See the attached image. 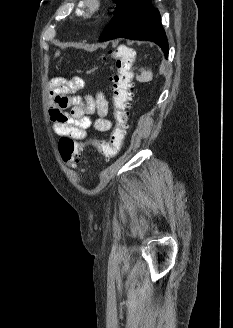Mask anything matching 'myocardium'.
Listing matches in <instances>:
<instances>
[{"label":"myocardium","mask_w":233,"mask_h":328,"mask_svg":"<svg viewBox=\"0 0 233 328\" xmlns=\"http://www.w3.org/2000/svg\"><path fill=\"white\" fill-rule=\"evenodd\" d=\"M102 9L101 0H83V17L85 19H93Z\"/></svg>","instance_id":"myocardium-1"}]
</instances>
